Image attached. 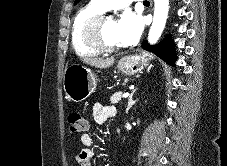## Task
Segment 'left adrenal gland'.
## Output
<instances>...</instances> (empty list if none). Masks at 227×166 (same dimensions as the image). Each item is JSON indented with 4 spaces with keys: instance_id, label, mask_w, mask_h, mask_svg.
I'll return each mask as SVG.
<instances>
[{
    "instance_id": "1",
    "label": "left adrenal gland",
    "mask_w": 227,
    "mask_h": 166,
    "mask_svg": "<svg viewBox=\"0 0 227 166\" xmlns=\"http://www.w3.org/2000/svg\"><path fill=\"white\" fill-rule=\"evenodd\" d=\"M136 92V89L132 91V93L130 94L129 98H128V106L126 109V113H128L129 109L136 103V101L138 100H133V95Z\"/></svg>"
}]
</instances>
